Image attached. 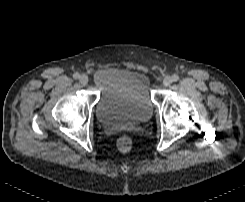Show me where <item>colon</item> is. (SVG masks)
<instances>
[{"instance_id":"5ec220e1","label":"colon","mask_w":245,"mask_h":202,"mask_svg":"<svg viewBox=\"0 0 245 202\" xmlns=\"http://www.w3.org/2000/svg\"><path fill=\"white\" fill-rule=\"evenodd\" d=\"M132 139L128 136H122L119 138L117 146L121 153H128L131 151L132 148Z\"/></svg>"}]
</instances>
